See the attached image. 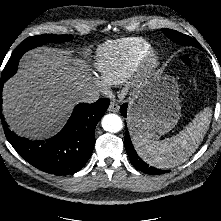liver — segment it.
<instances>
[{
  "label": "liver",
  "instance_id": "6515ba94",
  "mask_svg": "<svg viewBox=\"0 0 221 221\" xmlns=\"http://www.w3.org/2000/svg\"><path fill=\"white\" fill-rule=\"evenodd\" d=\"M87 80L83 65L67 54L51 48L29 51L3 89L7 123L31 138L52 134L67 119Z\"/></svg>",
  "mask_w": 221,
  "mask_h": 221
}]
</instances>
